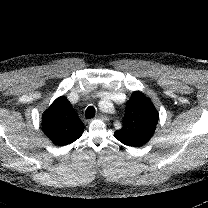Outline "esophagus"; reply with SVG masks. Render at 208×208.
Returning a JSON list of instances; mask_svg holds the SVG:
<instances>
[{
	"label": "esophagus",
	"mask_w": 208,
	"mask_h": 208,
	"mask_svg": "<svg viewBox=\"0 0 208 208\" xmlns=\"http://www.w3.org/2000/svg\"><path fill=\"white\" fill-rule=\"evenodd\" d=\"M95 119H100V120H108V117L106 115H103V114H98L95 116Z\"/></svg>",
	"instance_id": "34e87169"
}]
</instances>
